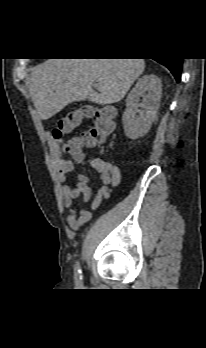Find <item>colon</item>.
<instances>
[{
	"instance_id": "1",
	"label": "colon",
	"mask_w": 206,
	"mask_h": 348,
	"mask_svg": "<svg viewBox=\"0 0 206 348\" xmlns=\"http://www.w3.org/2000/svg\"><path fill=\"white\" fill-rule=\"evenodd\" d=\"M114 115V110L109 106L70 111L57 117L52 137L54 140H60L65 134L79 127L85 118L91 119L92 126L65 145L68 153L78 157L83 155L88 147L105 141L111 135L114 129Z\"/></svg>"
}]
</instances>
